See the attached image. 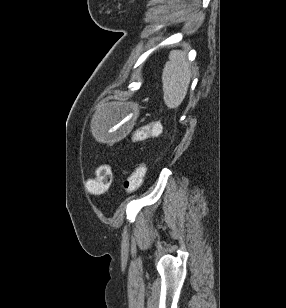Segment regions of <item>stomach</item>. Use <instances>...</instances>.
I'll return each mask as SVG.
<instances>
[{
    "label": "stomach",
    "instance_id": "0dacf381",
    "mask_svg": "<svg viewBox=\"0 0 286 308\" xmlns=\"http://www.w3.org/2000/svg\"><path fill=\"white\" fill-rule=\"evenodd\" d=\"M103 104L107 112H93L98 124L91 125L95 144H129V137H124L132 122L127 100H104Z\"/></svg>",
    "mask_w": 286,
    "mask_h": 308
}]
</instances>
